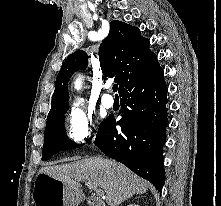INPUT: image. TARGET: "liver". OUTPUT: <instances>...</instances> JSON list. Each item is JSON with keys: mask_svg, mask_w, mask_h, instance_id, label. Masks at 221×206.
<instances>
[{"mask_svg": "<svg viewBox=\"0 0 221 206\" xmlns=\"http://www.w3.org/2000/svg\"><path fill=\"white\" fill-rule=\"evenodd\" d=\"M39 173L49 175L73 187L78 181L100 188L109 206H117L135 194H143L149 183L123 164L102 157H91L70 164L42 167Z\"/></svg>", "mask_w": 221, "mask_h": 206, "instance_id": "liver-1", "label": "liver"}]
</instances>
